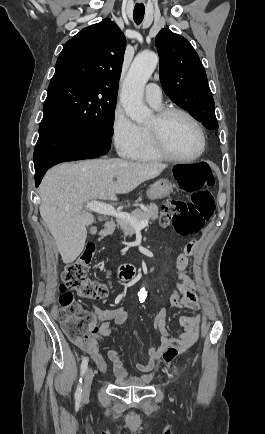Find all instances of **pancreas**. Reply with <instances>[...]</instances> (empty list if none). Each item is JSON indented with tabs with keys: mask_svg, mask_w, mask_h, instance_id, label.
Segmentation results:
<instances>
[{
	"mask_svg": "<svg viewBox=\"0 0 265 434\" xmlns=\"http://www.w3.org/2000/svg\"><path fill=\"white\" fill-rule=\"evenodd\" d=\"M158 208L156 204H149V206H145V210H134L132 216L138 220V222H144V220H150V222H155L158 218ZM118 228H121L124 236H133L135 234L134 226H131L129 222H122V220H118L117 222Z\"/></svg>",
	"mask_w": 265,
	"mask_h": 434,
	"instance_id": "pancreas-1",
	"label": "pancreas"
}]
</instances>
